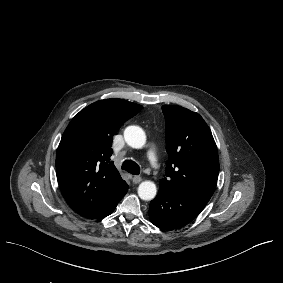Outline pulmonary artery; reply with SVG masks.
I'll use <instances>...</instances> for the list:
<instances>
[{
	"label": "pulmonary artery",
	"mask_w": 283,
	"mask_h": 283,
	"mask_svg": "<svg viewBox=\"0 0 283 283\" xmlns=\"http://www.w3.org/2000/svg\"><path fill=\"white\" fill-rule=\"evenodd\" d=\"M147 161L150 164H155L158 161V156L155 153L149 152L147 156Z\"/></svg>",
	"instance_id": "e3ab8cb5"
}]
</instances>
